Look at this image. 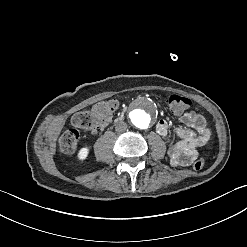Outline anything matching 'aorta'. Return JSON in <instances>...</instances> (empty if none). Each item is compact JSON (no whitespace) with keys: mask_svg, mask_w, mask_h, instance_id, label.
I'll return each mask as SVG.
<instances>
[{"mask_svg":"<svg viewBox=\"0 0 247 247\" xmlns=\"http://www.w3.org/2000/svg\"><path fill=\"white\" fill-rule=\"evenodd\" d=\"M142 112H139L137 116H134L133 123L136 127L145 129L149 125V117L146 114H141Z\"/></svg>","mask_w":247,"mask_h":247,"instance_id":"1","label":"aorta"}]
</instances>
